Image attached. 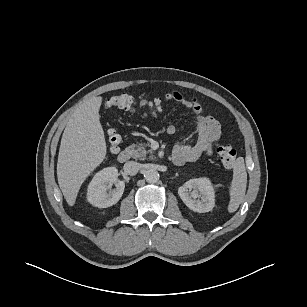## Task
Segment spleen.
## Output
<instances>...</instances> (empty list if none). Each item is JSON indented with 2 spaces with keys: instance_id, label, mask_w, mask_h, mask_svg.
Returning a JSON list of instances; mask_svg holds the SVG:
<instances>
[{
  "instance_id": "spleen-1",
  "label": "spleen",
  "mask_w": 307,
  "mask_h": 307,
  "mask_svg": "<svg viewBox=\"0 0 307 307\" xmlns=\"http://www.w3.org/2000/svg\"><path fill=\"white\" fill-rule=\"evenodd\" d=\"M247 186V173L243 157L236 159L233 169V179L229 186L230 202L228 212H235L243 202Z\"/></svg>"
}]
</instances>
